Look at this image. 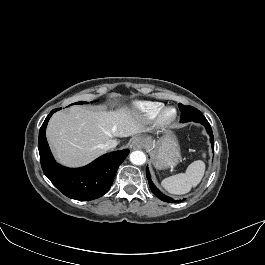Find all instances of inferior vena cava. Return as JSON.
I'll return each mask as SVG.
<instances>
[{
    "label": "inferior vena cava",
    "instance_id": "1",
    "mask_svg": "<svg viewBox=\"0 0 265 265\" xmlns=\"http://www.w3.org/2000/svg\"><path fill=\"white\" fill-rule=\"evenodd\" d=\"M116 146H117V142L115 140L110 139L102 145V148L107 151V150L115 148Z\"/></svg>",
    "mask_w": 265,
    "mask_h": 265
}]
</instances>
